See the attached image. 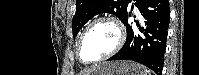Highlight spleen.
Masks as SVG:
<instances>
[{"instance_id":"spleen-1","label":"spleen","mask_w":199,"mask_h":75,"mask_svg":"<svg viewBox=\"0 0 199 75\" xmlns=\"http://www.w3.org/2000/svg\"><path fill=\"white\" fill-rule=\"evenodd\" d=\"M144 75H151L149 70L144 71Z\"/></svg>"}]
</instances>
